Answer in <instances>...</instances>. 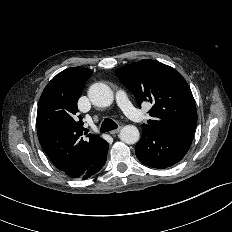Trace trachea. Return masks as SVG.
I'll return each instance as SVG.
<instances>
[{
	"instance_id": "trachea-1",
	"label": "trachea",
	"mask_w": 232,
	"mask_h": 232,
	"mask_svg": "<svg viewBox=\"0 0 232 232\" xmlns=\"http://www.w3.org/2000/svg\"><path fill=\"white\" fill-rule=\"evenodd\" d=\"M117 128V124L110 118H105L101 124L100 132H108Z\"/></svg>"
}]
</instances>
